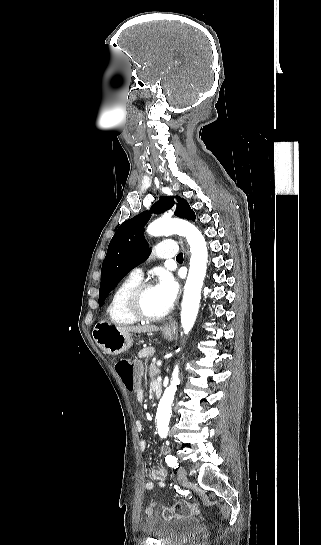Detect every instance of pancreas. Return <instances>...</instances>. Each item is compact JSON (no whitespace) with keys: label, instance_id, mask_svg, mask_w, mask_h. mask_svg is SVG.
I'll return each mask as SVG.
<instances>
[{"label":"pancreas","instance_id":"cf45deb5","mask_svg":"<svg viewBox=\"0 0 321 545\" xmlns=\"http://www.w3.org/2000/svg\"><path fill=\"white\" fill-rule=\"evenodd\" d=\"M161 371L159 369V367H157L156 363H151L150 365V371H149V375L151 377V379H154V377H159Z\"/></svg>","mask_w":321,"mask_h":545}]
</instances>
